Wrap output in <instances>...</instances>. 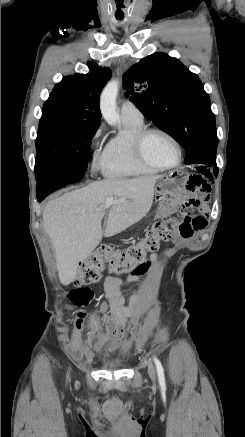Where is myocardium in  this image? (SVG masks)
Segmentation results:
<instances>
[{"instance_id": "myocardium-1", "label": "myocardium", "mask_w": 245, "mask_h": 437, "mask_svg": "<svg viewBox=\"0 0 245 437\" xmlns=\"http://www.w3.org/2000/svg\"><path fill=\"white\" fill-rule=\"evenodd\" d=\"M152 133L161 134V135L165 136L166 138H168L174 144V146L177 149V153H178V159H177L175 164L170 165V166H164V165H160L158 163H155V162L151 161L149 158H147V156L144 153L143 145H144V141H145L146 137ZM133 148H134V152H135L137 158L142 163H144L147 166L156 168L158 170H172V169L177 168L182 162L183 152H182V147H181L179 141L171 133H169L168 131H166L162 128L150 127V128H144L143 130H141L134 138Z\"/></svg>"}]
</instances>
